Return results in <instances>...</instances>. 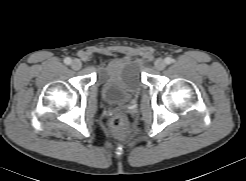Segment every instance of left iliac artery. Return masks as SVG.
Masks as SVG:
<instances>
[{
  "mask_svg": "<svg viewBox=\"0 0 246 181\" xmlns=\"http://www.w3.org/2000/svg\"><path fill=\"white\" fill-rule=\"evenodd\" d=\"M173 59L172 58H170V57H167L166 59H165V62H166V64H171V63H173Z\"/></svg>",
  "mask_w": 246,
  "mask_h": 181,
  "instance_id": "obj_1",
  "label": "left iliac artery"
}]
</instances>
